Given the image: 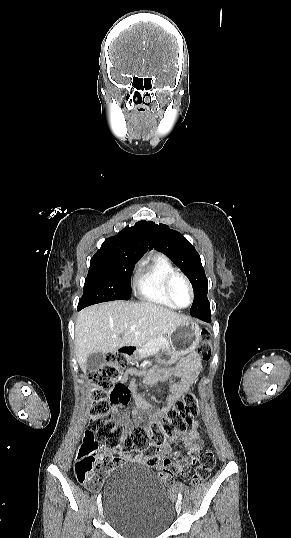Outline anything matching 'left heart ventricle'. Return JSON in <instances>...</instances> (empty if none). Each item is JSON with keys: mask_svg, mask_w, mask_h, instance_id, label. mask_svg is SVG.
<instances>
[{"mask_svg": "<svg viewBox=\"0 0 291 538\" xmlns=\"http://www.w3.org/2000/svg\"><path fill=\"white\" fill-rule=\"evenodd\" d=\"M172 293L175 302L180 306H186L190 300V294L185 282L178 278L174 281L172 286Z\"/></svg>", "mask_w": 291, "mask_h": 538, "instance_id": "obj_1", "label": "left heart ventricle"}]
</instances>
